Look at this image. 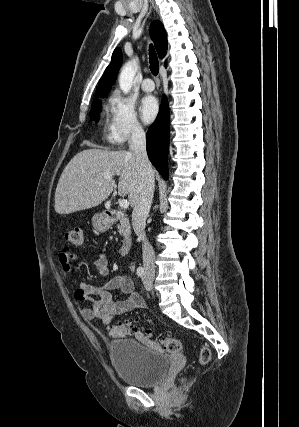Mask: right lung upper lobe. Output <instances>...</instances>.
I'll use <instances>...</instances> for the list:
<instances>
[{
    "label": "right lung upper lobe",
    "mask_w": 299,
    "mask_h": 427,
    "mask_svg": "<svg viewBox=\"0 0 299 427\" xmlns=\"http://www.w3.org/2000/svg\"><path fill=\"white\" fill-rule=\"evenodd\" d=\"M151 38L155 43L159 58H164L168 48L167 36L165 29L160 21H154L150 28ZM122 64V52L119 48L115 49L112 54L111 63L106 68L101 77L95 92V98L106 96L111 86L116 80L119 68ZM94 98V99H95Z\"/></svg>",
    "instance_id": "1"
}]
</instances>
